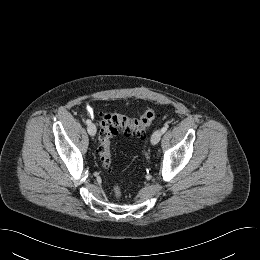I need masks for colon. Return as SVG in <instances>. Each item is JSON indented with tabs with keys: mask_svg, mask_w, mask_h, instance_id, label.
I'll return each instance as SVG.
<instances>
[{
	"mask_svg": "<svg viewBox=\"0 0 260 260\" xmlns=\"http://www.w3.org/2000/svg\"><path fill=\"white\" fill-rule=\"evenodd\" d=\"M155 117V112L148 109L138 117H128L119 113H105L102 116L98 135L99 146L97 155L101 164L109 169L112 165L111 140L117 133L126 136L142 135ZM115 197L122 194L121 187L115 185L113 188Z\"/></svg>",
	"mask_w": 260,
	"mask_h": 260,
	"instance_id": "1",
	"label": "colon"
}]
</instances>
